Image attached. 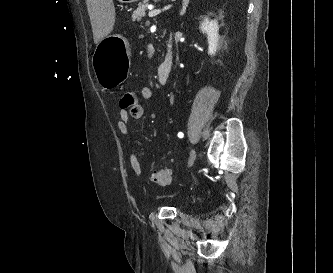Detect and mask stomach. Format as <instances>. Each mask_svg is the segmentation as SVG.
Wrapping results in <instances>:
<instances>
[{
    "mask_svg": "<svg viewBox=\"0 0 333 273\" xmlns=\"http://www.w3.org/2000/svg\"><path fill=\"white\" fill-rule=\"evenodd\" d=\"M132 3L138 0H119ZM129 44L122 35H110L98 44L93 55L95 79L104 89L117 87L128 75L130 63L128 58Z\"/></svg>",
    "mask_w": 333,
    "mask_h": 273,
    "instance_id": "obj_1",
    "label": "stomach"
}]
</instances>
